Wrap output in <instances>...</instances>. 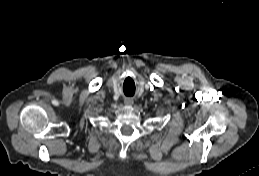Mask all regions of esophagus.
I'll list each match as a JSON object with an SVG mask.
<instances>
[{
	"label": "esophagus",
	"mask_w": 259,
	"mask_h": 176,
	"mask_svg": "<svg viewBox=\"0 0 259 176\" xmlns=\"http://www.w3.org/2000/svg\"><path fill=\"white\" fill-rule=\"evenodd\" d=\"M125 104L126 105H132L133 104V100L128 98V99L125 100Z\"/></svg>",
	"instance_id": "esophagus-1"
}]
</instances>
